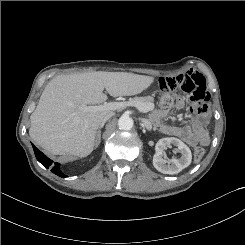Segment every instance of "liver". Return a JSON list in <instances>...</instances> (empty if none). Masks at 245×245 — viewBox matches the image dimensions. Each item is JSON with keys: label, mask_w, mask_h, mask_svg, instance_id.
Listing matches in <instances>:
<instances>
[{"label": "liver", "mask_w": 245, "mask_h": 245, "mask_svg": "<svg viewBox=\"0 0 245 245\" xmlns=\"http://www.w3.org/2000/svg\"><path fill=\"white\" fill-rule=\"evenodd\" d=\"M154 77L127 72H88L59 75L44 88L30 116L29 134L43 149L56 155L88 156L94 149L102 119L112 110L86 111L107 95L140 94Z\"/></svg>", "instance_id": "1"}]
</instances>
